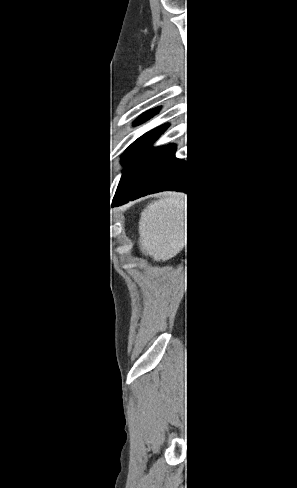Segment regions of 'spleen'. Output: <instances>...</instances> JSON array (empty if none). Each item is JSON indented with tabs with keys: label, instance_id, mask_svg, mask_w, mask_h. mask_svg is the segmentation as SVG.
I'll return each instance as SVG.
<instances>
[{
	"label": "spleen",
	"instance_id": "spleen-1",
	"mask_svg": "<svg viewBox=\"0 0 297 488\" xmlns=\"http://www.w3.org/2000/svg\"><path fill=\"white\" fill-rule=\"evenodd\" d=\"M182 204L181 195H170L142 212L140 249L156 261L171 258L180 247Z\"/></svg>",
	"mask_w": 297,
	"mask_h": 488
}]
</instances>
